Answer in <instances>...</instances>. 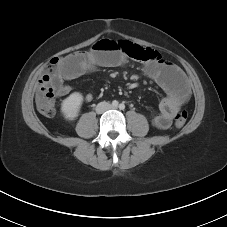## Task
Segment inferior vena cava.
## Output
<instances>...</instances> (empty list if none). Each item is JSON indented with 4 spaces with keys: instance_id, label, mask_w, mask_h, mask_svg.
I'll use <instances>...</instances> for the list:
<instances>
[{
    "instance_id": "inferior-vena-cava-1",
    "label": "inferior vena cava",
    "mask_w": 227,
    "mask_h": 227,
    "mask_svg": "<svg viewBox=\"0 0 227 227\" xmlns=\"http://www.w3.org/2000/svg\"><path fill=\"white\" fill-rule=\"evenodd\" d=\"M110 108H111V105L108 102H105V101L104 102H100L96 106V112L98 114H101V113L109 110Z\"/></svg>"
}]
</instances>
